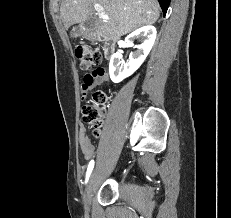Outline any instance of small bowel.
I'll return each mask as SVG.
<instances>
[{"instance_id":"small-bowel-1","label":"small bowel","mask_w":231,"mask_h":218,"mask_svg":"<svg viewBox=\"0 0 231 218\" xmlns=\"http://www.w3.org/2000/svg\"><path fill=\"white\" fill-rule=\"evenodd\" d=\"M86 73L82 83L83 98L87 96L91 89L108 81V74L104 69H87ZM79 147L85 160L93 157L95 145L88 137L86 127L82 123L79 124Z\"/></svg>"}]
</instances>
